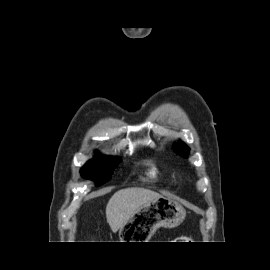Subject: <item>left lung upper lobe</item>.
I'll use <instances>...</instances> for the list:
<instances>
[{
    "label": "left lung upper lobe",
    "mask_w": 270,
    "mask_h": 270,
    "mask_svg": "<svg viewBox=\"0 0 270 270\" xmlns=\"http://www.w3.org/2000/svg\"><path fill=\"white\" fill-rule=\"evenodd\" d=\"M173 150L180 154L183 157H187L188 152H189V148L187 147V145L185 143H183L182 141H178L177 143H174L173 145Z\"/></svg>",
    "instance_id": "1"
}]
</instances>
